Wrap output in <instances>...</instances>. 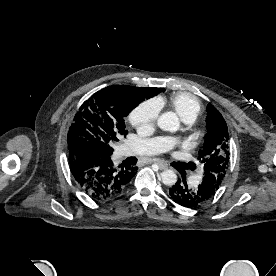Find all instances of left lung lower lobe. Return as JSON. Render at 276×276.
<instances>
[{
    "label": "left lung lower lobe",
    "instance_id": "obj_1",
    "mask_svg": "<svg viewBox=\"0 0 276 276\" xmlns=\"http://www.w3.org/2000/svg\"><path fill=\"white\" fill-rule=\"evenodd\" d=\"M216 188L209 181H202L197 187L188 188L186 181L178 180L169 189V195L179 205L187 208L200 206L208 201L215 193Z\"/></svg>",
    "mask_w": 276,
    "mask_h": 276
}]
</instances>
